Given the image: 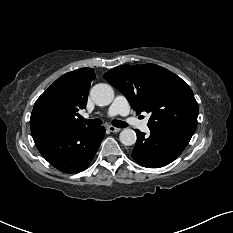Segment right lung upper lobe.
I'll return each instance as SVG.
<instances>
[{
  "instance_id": "1",
  "label": "right lung upper lobe",
  "mask_w": 233,
  "mask_h": 233,
  "mask_svg": "<svg viewBox=\"0 0 233 233\" xmlns=\"http://www.w3.org/2000/svg\"><path fill=\"white\" fill-rule=\"evenodd\" d=\"M94 79L91 68H81L58 78L35 102L30 118L31 132L86 128L77 116L78 111L86 107L90 83Z\"/></svg>"
}]
</instances>
